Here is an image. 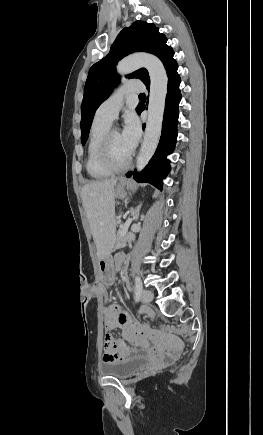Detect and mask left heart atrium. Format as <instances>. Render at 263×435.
I'll return each mask as SVG.
<instances>
[{"instance_id": "39dd6f15", "label": "left heart atrium", "mask_w": 263, "mask_h": 435, "mask_svg": "<svg viewBox=\"0 0 263 435\" xmlns=\"http://www.w3.org/2000/svg\"><path fill=\"white\" fill-rule=\"evenodd\" d=\"M140 136L141 129L139 121L135 115L129 114L125 119L124 127L121 132V138L123 144L130 153H132L137 146Z\"/></svg>"}]
</instances>
